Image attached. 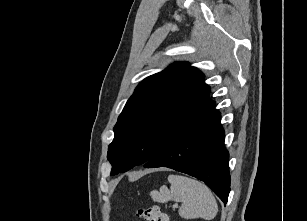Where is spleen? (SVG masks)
Instances as JSON below:
<instances>
[{
  "mask_svg": "<svg viewBox=\"0 0 307 221\" xmlns=\"http://www.w3.org/2000/svg\"><path fill=\"white\" fill-rule=\"evenodd\" d=\"M170 189L163 185L159 191L154 190L150 196L155 202L165 203L169 200L181 202L179 215L185 219L203 218L212 220L218 211L217 202L210 189L203 183L180 175L168 176Z\"/></svg>",
  "mask_w": 307,
  "mask_h": 221,
  "instance_id": "obj_1",
  "label": "spleen"
}]
</instances>
